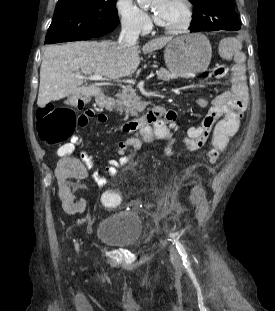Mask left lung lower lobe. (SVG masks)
Here are the masks:
<instances>
[{"label": "left lung lower lobe", "instance_id": "left-lung-lower-lobe-1", "mask_svg": "<svg viewBox=\"0 0 275 311\" xmlns=\"http://www.w3.org/2000/svg\"><path fill=\"white\" fill-rule=\"evenodd\" d=\"M219 29L217 28H210V29H192L191 28V31H194V32H198V31H218Z\"/></svg>", "mask_w": 275, "mask_h": 311}]
</instances>
